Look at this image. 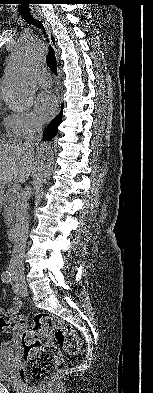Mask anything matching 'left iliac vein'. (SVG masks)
<instances>
[{
    "label": "left iliac vein",
    "instance_id": "obj_1",
    "mask_svg": "<svg viewBox=\"0 0 153 393\" xmlns=\"http://www.w3.org/2000/svg\"><path fill=\"white\" fill-rule=\"evenodd\" d=\"M14 291L22 296H26L28 294V290H27V286L24 282H22L21 284L19 283H15L13 285Z\"/></svg>",
    "mask_w": 153,
    "mask_h": 393
}]
</instances>
